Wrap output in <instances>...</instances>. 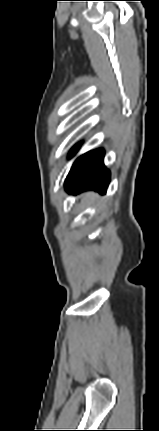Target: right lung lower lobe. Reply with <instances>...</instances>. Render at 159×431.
Masks as SVG:
<instances>
[{
	"label": "right lung lower lobe",
	"mask_w": 159,
	"mask_h": 431,
	"mask_svg": "<svg viewBox=\"0 0 159 431\" xmlns=\"http://www.w3.org/2000/svg\"><path fill=\"white\" fill-rule=\"evenodd\" d=\"M80 145H76L69 153L73 157ZM104 150L89 151L80 156L73 164L65 181L68 193H77L85 190H95L105 193L110 181V172L106 169L103 158Z\"/></svg>",
	"instance_id": "1"
}]
</instances>
